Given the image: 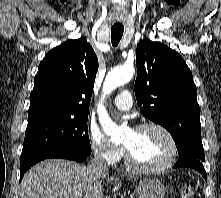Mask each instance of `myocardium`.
<instances>
[{"label": "myocardium", "mask_w": 221, "mask_h": 198, "mask_svg": "<svg viewBox=\"0 0 221 198\" xmlns=\"http://www.w3.org/2000/svg\"><path fill=\"white\" fill-rule=\"evenodd\" d=\"M148 128L157 129L160 131L168 140L170 146V153L167 159L160 165L157 166H143L135 161L130 151L124 146V156L126 164L136 172L145 173V174H158L162 173L175 163L178 156V146L177 142L172 135V133L162 124L154 121H147L137 125L133 131L138 132Z\"/></svg>", "instance_id": "f54148a6"}]
</instances>
